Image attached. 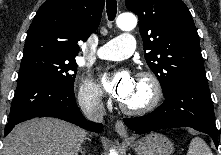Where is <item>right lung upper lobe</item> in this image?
<instances>
[{
    "mask_svg": "<svg viewBox=\"0 0 221 155\" xmlns=\"http://www.w3.org/2000/svg\"><path fill=\"white\" fill-rule=\"evenodd\" d=\"M104 0H46L31 23L24 55L49 53L75 58L101 19Z\"/></svg>",
    "mask_w": 221,
    "mask_h": 155,
    "instance_id": "cb5924a9",
    "label": "right lung upper lobe"
}]
</instances>
